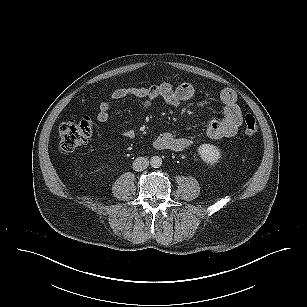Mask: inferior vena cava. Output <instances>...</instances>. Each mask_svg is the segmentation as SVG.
<instances>
[{"mask_svg":"<svg viewBox=\"0 0 307 307\" xmlns=\"http://www.w3.org/2000/svg\"><path fill=\"white\" fill-rule=\"evenodd\" d=\"M148 165H149V161H148L147 158H145V157H138L133 162V169L135 171L140 172V171L145 170L148 167Z\"/></svg>","mask_w":307,"mask_h":307,"instance_id":"obj_1","label":"inferior vena cava"}]
</instances>
